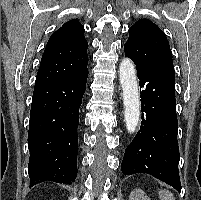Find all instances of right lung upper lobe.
I'll return each mask as SVG.
<instances>
[{
	"mask_svg": "<svg viewBox=\"0 0 201 200\" xmlns=\"http://www.w3.org/2000/svg\"><path fill=\"white\" fill-rule=\"evenodd\" d=\"M87 48L84 27L79 21L64 23L48 40L35 87L63 81L82 71L88 64Z\"/></svg>",
	"mask_w": 201,
	"mask_h": 200,
	"instance_id": "cb5924a9",
	"label": "right lung upper lobe"
}]
</instances>
